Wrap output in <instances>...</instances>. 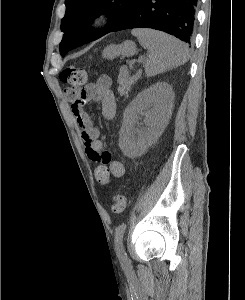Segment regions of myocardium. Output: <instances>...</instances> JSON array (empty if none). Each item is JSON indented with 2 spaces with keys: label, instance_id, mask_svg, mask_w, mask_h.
<instances>
[{
  "label": "myocardium",
  "instance_id": "obj_1",
  "mask_svg": "<svg viewBox=\"0 0 245 300\" xmlns=\"http://www.w3.org/2000/svg\"><path fill=\"white\" fill-rule=\"evenodd\" d=\"M105 19V16L103 13H94L90 16L89 22L91 25L96 26L100 25Z\"/></svg>",
  "mask_w": 245,
  "mask_h": 300
}]
</instances>
